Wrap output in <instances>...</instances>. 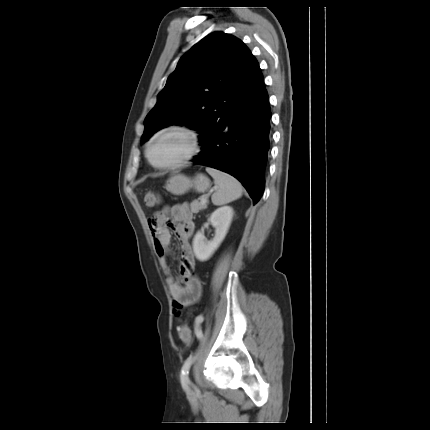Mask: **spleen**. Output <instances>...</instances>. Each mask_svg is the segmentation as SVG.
<instances>
[{"mask_svg": "<svg viewBox=\"0 0 430 430\" xmlns=\"http://www.w3.org/2000/svg\"><path fill=\"white\" fill-rule=\"evenodd\" d=\"M206 171L213 177L216 187L211 197L214 205L228 204L242 196V185L235 177L212 167H206Z\"/></svg>", "mask_w": 430, "mask_h": 430, "instance_id": "3e777b00", "label": "spleen"}]
</instances>
